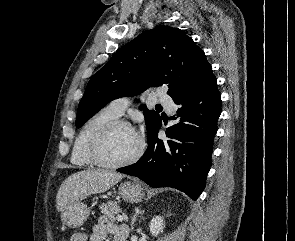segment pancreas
<instances>
[{"mask_svg": "<svg viewBox=\"0 0 295 241\" xmlns=\"http://www.w3.org/2000/svg\"><path fill=\"white\" fill-rule=\"evenodd\" d=\"M102 214H104L108 219L115 221V215L121 212L116 201H110L108 203L102 204L100 206Z\"/></svg>", "mask_w": 295, "mask_h": 241, "instance_id": "1", "label": "pancreas"}]
</instances>
